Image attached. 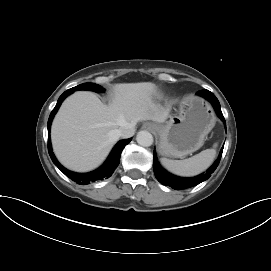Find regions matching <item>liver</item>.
Masks as SVG:
<instances>
[{"label": "liver", "instance_id": "obj_1", "mask_svg": "<svg viewBox=\"0 0 271 271\" xmlns=\"http://www.w3.org/2000/svg\"><path fill=\"white\" fill-rule=\"evenodd\" d=\"M155 92L156 86L151 82L117 84L109 105L89 91L70 95L62 103L51 128L58 160L70 170L91 171L106 159L119 139L116 130L126 123L165 122L170 106L155 105L152 102Z\"/></svg>", "mask_w": 271, "mask_h": 271}]
</instances>
